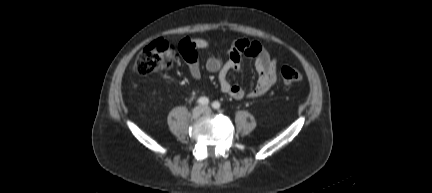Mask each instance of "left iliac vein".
<instances>
[{
    "mask_svg": "<svg viewBox=\"0 0 432 193\" xmlns=\"http://www.w3.org/2000/svg\"><path fill=\"white\" fill-rule=\"evenodd\" d=\"M203 112L206 113V114H210L212 112V110H211L210 107L206 106V107L203 108Z\"/></svg>",
    "mask_w": 432,
    "mask_h": 193,
    "instance_id": "obj_1",
    "label": "left iliac vein"
}]
</instances>
